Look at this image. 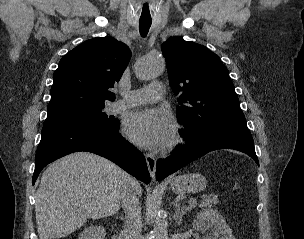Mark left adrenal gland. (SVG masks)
I'll return each mask as SVG.
<instances>
[{
    "label": "left adrenal gland",
    "mask_w": 304,
    "mask_h": 239,
    "mask_svg": "<svg viewBox=\"0 0 304 239\" xmlns=\"http://www.w3.org/2000/svg\"><path fill=\"white\" fill-rule=\"evenodd\" d=\"M174 207H175V213L173 215V219L178 225H180L182 222L183 215L186 214V212L189 211L190 208L186 206L181 207L180 203L176 201L174 202Z\"/></svg>",
    "instance_id": "1"
}]
</instances>
